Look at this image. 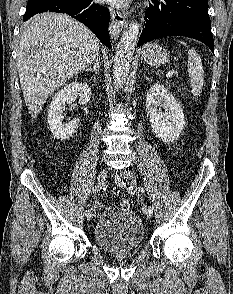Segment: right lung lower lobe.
I'll return each instance as SVG.
<instances>
[{
    "mask_svg": "<svg viewBox=\"0 0 233 294\" xmlns=\"http://www.w3.org/2000/svg\"><path fill=\"white\" fill-rule=\"evenodd\" d=\"M42 12L66 13L89 27L106 47L111 45L108 31L109 10L92 0H33L27 4L23 21Z\"/></svg>",
    "mask_w": 233,
    "mask_h": 294,
    "instance_id": "right-lung-lower-lobe-1",
    "label": "right lung lower lobe"
}]
</instances>
